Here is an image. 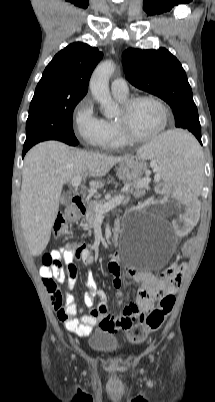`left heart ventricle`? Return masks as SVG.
Here are the masks:
<instances>
[{
	"label": "left heart ventricle",
	"mask_w": 215,
	"mask_h": 402,
	"mask_svg": "<svg viewBox=\"0 0 215 402\" xmlns=\"http://www.w3.org/2000/svg\"><path fill=\"white\" fill-rule=\"evenodd\" d=\"M129 123L135 134L140 136L150 135L162 126V110L154 102L141 101L132 108Z\"/></svg>",
	"instance_id": "left-heart-ventricle-1"
}]
</instances>
